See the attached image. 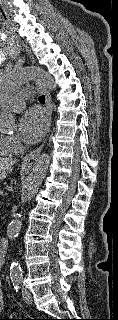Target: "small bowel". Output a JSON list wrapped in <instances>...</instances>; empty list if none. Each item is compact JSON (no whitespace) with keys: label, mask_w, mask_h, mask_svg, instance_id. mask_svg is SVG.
<instances>
[{"label":"small bowel","mask_w":118,"mask_h":320,"mask_svg":"<svg viewBox=\"0 0 118 320\" xmlns=\"http://www.w3.org/2000/svg\"><path fill=\"white\" fill-rule=\"evenodd\" d=\"M4 308V298H3V292L1 289V280H0V314L3 311Z\"/></svg>","instance_id":"obj_1"}]
</instances>
